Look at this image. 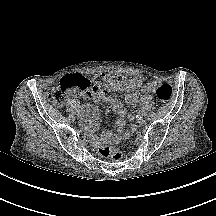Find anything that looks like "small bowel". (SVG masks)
I'll return each mask as SVG.
<instances>
[{
    "mask_svg": "<svg viewBox=\"0 0 216 216\" xmlns=\"http://www.w3.org/2000/svg\"><path fill=\"white\" fill-rule=\"evenodd\" d=\"M102 83L105 84L107 89H101L100 86H96L93 90L87 93V97L92 99L94 102H99L101 100H106L110 103L112 109L119 116L126 115V110L124 104L120 102L115 93L116 92H126L125 102L129 105H136L139 95L141 92H154L157 82L144 83V78L140 75L134 76L132 78H126L120 73H110L107 75L99 76ZM101 83V84H102ZM99 125V115L95 109L88 108V118L85 123V127L88 130H93ZM127 131L125 129V123L123 120L118 122V131L116 134L112 132H105L98 139L93 137L92 140L96 142L100 140L102 142H111L119 140L127 136Z\"/></svg>",
    "mask_w": 216,
    "mask_h": 216,
    "instance_id": "small-bowel-1",
    "label": "small bowel"
}]
</instances>
